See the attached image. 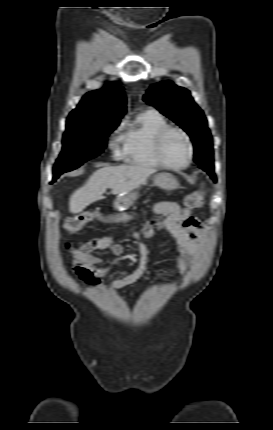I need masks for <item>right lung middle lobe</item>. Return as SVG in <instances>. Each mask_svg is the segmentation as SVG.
<instances>
[{
	"mask_svg": "<svg viewBox=\"0 0 273 430\" xmlns=\"http://www.w3.org/2000/svg\"><path fill=\"white\" fill-rule=\"evenodd\" d=\"M119 121L92 120L69 116L63 137L62 153L54 166V177L76 169L98 156L107 144V137Z\"/></svg>",
	"mask_w": 273,
	"mask_h": 430,
	"instance_id": "obj_1",
	"label": "right lung middle lobe"
}]
</instances>
